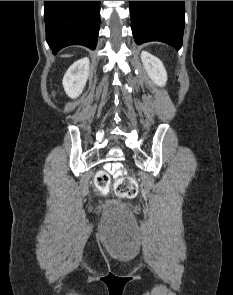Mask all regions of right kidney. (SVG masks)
<instances>
[{"label":"right kidney","instance_id":"1","mask_svg":"<svg viewBox=\"0 0 233 295\" xmlns=\"http://www.w3.org/2000/svg\"><path fill=\"white\" fill-rule=\"evenodd\" d=\"M89 59L82 58L74 62L65 73L62 84L66 94L77 98L83 91L89 75Z\"/></svg>","mask_w":233,"mask_h":295}]
</instances>
